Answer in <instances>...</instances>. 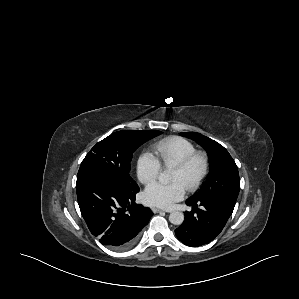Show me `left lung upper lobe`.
<instances>
[{
  "instance_id": "5c2ea615",
  "label": "left lung upper lobe",
  "mask_w": 299,
  "mask_h": 299,
  "mask_svg": "<svg viewBox=\"0 0 299 299\" xmlns=\"http://www.w3.org/2000/svg\"><path fill=\"white\" fill-rule=\"evenodd\" d=\"M180 135L194 139L210 156V176L190 199L193 201L217 199L234 208L240 190V179L237 165L228 151L216 141L199 133L186 132Z\"/></svg>"
}]
</instances>
